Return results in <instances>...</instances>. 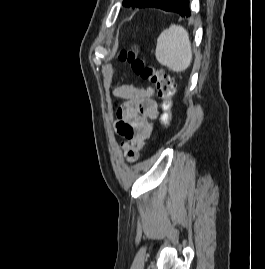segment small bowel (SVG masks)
I'll use <instances>...</instances> for the list:
<instances>
[{"label": "small bowel", "instance_id": "obj_1", "mask_svg": "<svg viewBox=\"0 0 265 269\" xmlns=\"http://www.w3.org/2000/svg\"><path fill=\"white\" fill-rule=\"evenodd\" d=\"M113 93L116 97L126 99V102L117 110V128L121 121L127 122L135 128L134 136L131 139H126L122 144L127 159L135 161L139 151L151 135L152 120L158 113L157 104L152 98L153 90L123 85L117 87Z\"/></svg>", "mask_w": 265, "mask_h": 269}]
</instances>
